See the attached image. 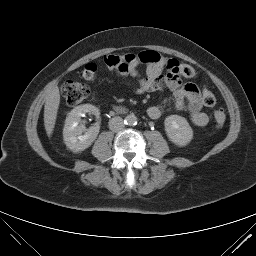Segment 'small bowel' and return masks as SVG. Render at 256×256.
<instances>
[{
	"label": "small bowel",
	"mask_w": 256,
	"mask_h": 256,
	"mask_svg": "<svg viewBox=\"0 0 256 256\" xmlns=\"http://www.w3.org/2000/svg\"><path fill=\"white\" fill-rule=\"evenodd\" d=\"M139 61H132L124 64L115 70L119 77H129L136 81L137 86L134 89L137 94L150 93L161 90L165 85L173 93L175 98V107L180 110L187 106L191 122L199 127L206 126L209 117L202 111V99L198 87L193 83H183L182 75L177 66L180 62L176 59H161L156 63L146 64V74L141 75L138 67ZM164 105L157 104L148 108L147 114L151 119L161 117Z\"/></svg>",
	"instance_id": "1"
}]
</instances>
